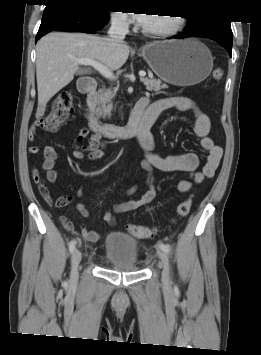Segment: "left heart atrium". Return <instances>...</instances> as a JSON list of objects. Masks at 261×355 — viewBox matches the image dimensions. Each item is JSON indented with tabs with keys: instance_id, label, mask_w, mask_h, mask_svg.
<instances>
[{
	"instance_id": "left-heart-atrium-1",
	"label": "left heart atrium",
	"mask_w": 261,
	"mask_h": 355,
	"mask_svg": "<svg viewBox=\"0 0 261 355\" xmlns=\"http://www.w3.org/2000/svg\"><path fill=\"white\" fill-rule=\"evenodd\" d=\"M149 15L145 14V13H138V14H134L133 15V19L134 21H136L138 24L140 25H144V23L146 22L147 18Z\"/></svg>"
}]
</instances>
